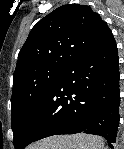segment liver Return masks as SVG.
<instances>
[{
    "mask_svg": "<svg viewBox=\"0 0 124 149\" xmlns=\"http://www.w3.org/2000/svg\"><path fill=\"white\" fill-rule=\"evenodd\" d=\"M100 137L78 134L73 136H56L42 140L28 149H103Z\"/></svg>",
    "mask_w": 124,
    "mask_h": 149,
    "instance_id": "liver-1",
    "label": "liver"
}]
</instances>
